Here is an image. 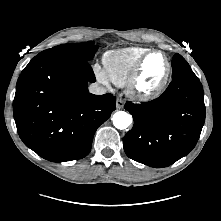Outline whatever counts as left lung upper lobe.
<instances>
[{
  "instance_id": "5c2ea615",
  "label": "left lung upper lobe",
  "mask_w": 221,
  "mask_h": 221,
  "mask_svg": "<svg viewBox=\"0 0 221 221\" xmlns=\"http://www.w3.org/2000/svg\"><path fill=\"white\" fill-rule=\"evenodd\" d=\"M187 72H193L189 64L181 55L175 54L172 59V79Z\"/></svg>"
}]
</instances>
